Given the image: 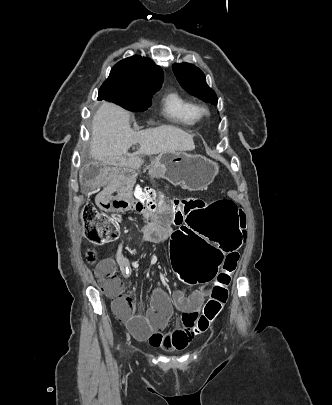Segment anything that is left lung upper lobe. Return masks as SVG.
<instances>
[{"label":"left lung upper lobe","instance_id":"obj_1","mask_svg":"<svg viewBox=\"0 0 332 405\" xmlns=\"http://www.w3.org/2000/svg\"><path fill=\"white\" fill-rule=\"evenodd\" d=\"M173 72L180 85L191 95L217 105V96L215 92L207 85L203 72L188 63L174 64Z\"/></svg>","mask_w":332,"mask_h":405}]
</instances>
